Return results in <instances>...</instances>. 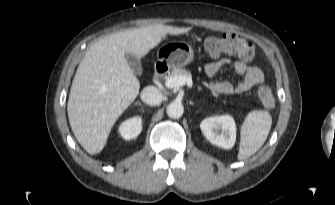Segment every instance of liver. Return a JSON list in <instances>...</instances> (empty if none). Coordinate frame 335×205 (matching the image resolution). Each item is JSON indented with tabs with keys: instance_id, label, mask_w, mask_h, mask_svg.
<instances>
[{
	"instance_id": "6515ba94",
	"label": "liver",
	"mask_w": 335,
	"mask_h": 205,
	"mask_svg": "<svg viewBox=\"0 0 335 205\" xmlns=\"http://www.w3.org/2000/svg\"><path fill=\"white\" fill-rule=\"evenodd\" d=\"M191 30L162 24L113 33L93 44L80 62L67 112L74 136L89 154L103 150L111 128L136 99L140 82L126 54L144 57L167 34Z\"/></svg>"
}]
</instances>
